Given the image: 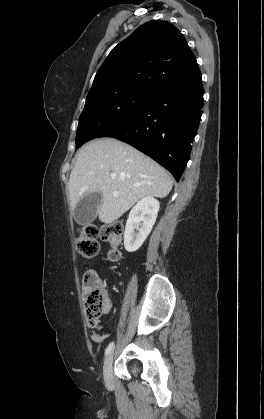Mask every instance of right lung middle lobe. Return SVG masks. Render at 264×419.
Wrapping results in <instances>:
<instances>
[{
	"label": "right lung middle lobe",
	"mask_w": 264,
	"mask_h": 419,
	"mask_svg": "<svg viewBox=\"0 0 264 419\" xmlns=\"http://www.w3.org/2000/svg\"><path fill=\"white\" fill-rule=\"evenodd\" d=\"M153 93L134 86L107 87L88 93L77 128L76 148L127 119Z\"/></svg>",
	"instance_id": "dd1d6c3e"
}]
</instances>
